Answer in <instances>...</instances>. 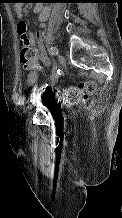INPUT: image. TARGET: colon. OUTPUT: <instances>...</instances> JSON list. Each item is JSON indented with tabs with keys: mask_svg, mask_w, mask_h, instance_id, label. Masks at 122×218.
<instances>
[{
	"mask_svg": "<svg viewBox=\"0 0 122 218\" xmlns=\"http://www.w3.org/2000/svg\"><path fill=\"white\" fill-rule=\"evenodd\" d=\"M17 34L20 43V61L24 66H36L37 53L31 45V36L25 21L17 23ZM96 91L94 81L81 82L76 87L65 88L61 91V97L64 102L74 104L90 99Z\"/></svg>",
	"mask_w": 122,
	"mask_h": 218,
	"instance_id": "1",
	"label": "colon"
}]
</instances>
